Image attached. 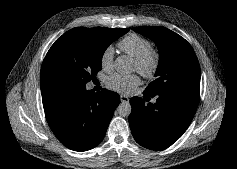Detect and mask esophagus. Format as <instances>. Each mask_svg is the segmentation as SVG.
Segmentation results:
<instances>
[{"label":"esophagus","instance_id":"1","mask_svg":"<svg viewBox=\"0 0 237 169\" xmlns=\"http://www.w3.org/2000/svg\"><path fill=\"white\" fill-rule=\"evenodd\" d=\"M120 100H121V102L128 103L129 102V97L124 96V95H120Z\"/></svg>","mask_w":237,"mask_h":169}]
</instances>
